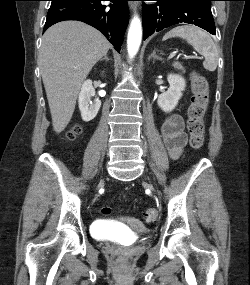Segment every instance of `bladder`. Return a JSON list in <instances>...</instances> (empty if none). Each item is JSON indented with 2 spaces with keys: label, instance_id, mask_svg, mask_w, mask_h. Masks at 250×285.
<instances>
[{
  "label": "bladder",
  "instance_id": "bladder-1",
  "mask_svg": "<svg viewBox=\"0 0 250 285\" xmlns=\"http://www.w3.org/2000/svg\"><path fill=\"white\" fill-rule=\"evenodd\" d=\"M95 235L103 240L108 239H121L126 236L124 231L115 226H109L107 224L98 223L94 228Z\"/></svg>",
  "mask_w": 250,
  "mask_h": 285
}]
</instances>
